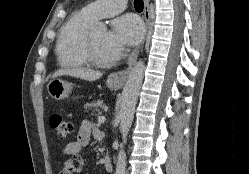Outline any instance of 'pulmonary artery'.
<instances>
[{
	"mask_svg": "<svg viewBox=\"0 0 249 174\" xmlns=\"http://www.w3.org/2000/svg\"><path fill=\"white\" fill-rule=\"evenodd\" d=\"M127 0H96L88 4L84 11L93 19L116 15L126 8Z\"/></svg>",
	"mask_w": 249,
	"mask_h": 174,
	"instance_id": "obj_1",
	"label": "pulmonary artery"
}]
</instances>
